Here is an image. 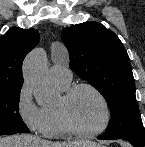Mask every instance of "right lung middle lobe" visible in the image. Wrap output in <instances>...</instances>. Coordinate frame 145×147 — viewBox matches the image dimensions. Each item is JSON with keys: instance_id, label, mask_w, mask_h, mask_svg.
Listing matches in <instances>:
<instances>
[{"instance_id": "1", "label": "right lung middle lobe", "mask_w": 145, "mask_h": 147, "mask_svg": "<svg viewBox=\"0 0 145 147\" xmlns=\"http://www.w3.org/2000/svg\"><path fill=\"white\" fill-rule=\"evenodd\" d=\"M21 88L0 90V135L30 132L18 111Z\"/></svg>"}]
</instances>
